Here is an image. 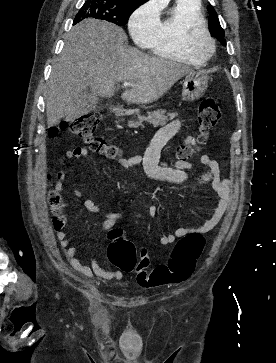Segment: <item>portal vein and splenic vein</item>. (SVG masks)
Segmentation results:
<instances>
[{
  "instance_id": "portal-vein-and-splenic-vein-1",
  "label": "portal vein and splenic vein",
  "mask_w": 276,
  "mask_h": 363,
  "mask_svg": "<svg viewBox=\"0 0 276 363\" xmlns=\"http://www.w3.org/2000/svg\"><path fill=\"white\" fill-rule=\"evenodd\" d=\"M129 86H135L134 83H130V82H123V87L126 88V87H129Z\"/></svg>"
}]
</instances>
